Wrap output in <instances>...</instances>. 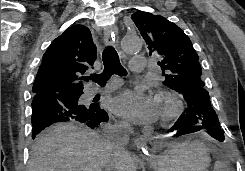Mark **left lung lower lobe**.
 <instances>
[{
	"label": "left lung lower lobe",
	"mask_w": 245,
	"mask_h": 171,
	"mask_svg": "<svg viewBox=\"0 0 245 171\" xmlns=\"http://www.w3.org/2000/svg\"><path fill=\"white\" fill-rule=\"evenodd\" d=\"M181 94L188 107L169 132L175 131V136H181L206 129L211 137L224 141V132L220 128L218 116L211 105L209 93L204 87H189Z\"/></svg>",
	"instance_id": "left-lung-lower-lobe-1"
}]
</instances>
